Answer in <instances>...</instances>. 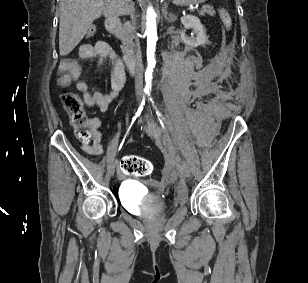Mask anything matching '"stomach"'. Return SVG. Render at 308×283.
I'll use <instances>...</instances> for the list:
<instances>
[{
  "label": "stomach",
  "mask_w": 308,
  "mask_h": 283,
  "mask_svg": "<svg viewBox=\"0 0 308 283\" xmlns=\"http://www.w3.org/2000/svg\"><path fill=\"white\" fill-rule=\"evenodd\" d=\"M174 4L181 6H189L204 3L206 0H172Z\"/></svg>",
  "instance_id": "stomach-1"
}]
</instances>
